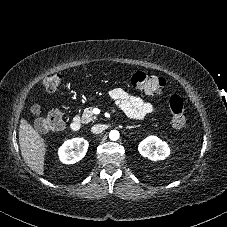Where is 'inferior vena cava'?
Returning a JSON list of instances; mask_svg holds the SVG:
<instances>
[{
  "label": "inferior vena cava",
  "instance_id": "602c4592",
  "mask_svg": "<svg viewBox=\"0 0 227 227\" xmlns=\"http://www.w3.org/2000/svg\"><path fill=\"white\" fill-rule=\"evenodd\" d=\"M105 130V125L103 124H96L91 128L92 133L99 134Z\"/></svg>",
  "mask_w": 227,
  "mask_h": 227
}]
</instances>
